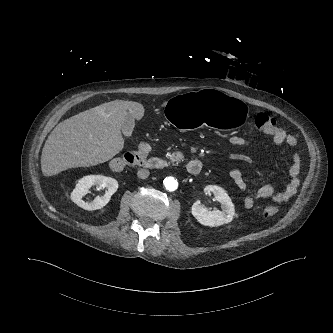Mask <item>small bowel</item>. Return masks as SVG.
I'll return each mask as SVG.
<instances>
[{
	"instance_id": "small-bowel-1",
	"label": "small bowel",
	"mask_w": 333,
	"mask_h": 333,
	"mask_svg": "<svg viewBox=\"0 0 333 333\" xmlns=\"http://www.w3.org/2000/svg\"><path fill=\"white\" fill-rule=\"evenodd\" d=\"M272 136V143L274 146H280L286 144L290 147L297 145V139L294 135L290 134L286 129L276 126L275 131L270 133ZM231 145L235 147H247L249 145L248 139L240 135H232L229 138ZM134 150L140 154H148L150 152V145L144 141H136L134 143ZM301 170V160L298 154H294L291 157V165L289 168V181L285 188L282 190H275L273 186L265 184L255 190L254 193L248 195L244 199V205L246 208H252L258 200L270 199L274 202H285L289 200L297 190L299 185L298 175ZM229 178L241 191L247 189V183L245 177L240 169H232L229 172Z\"/></svg>"
}]
</instances>
